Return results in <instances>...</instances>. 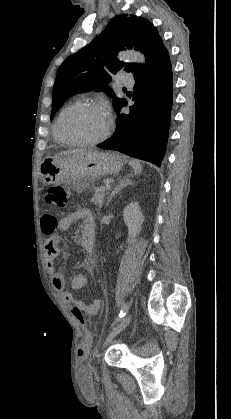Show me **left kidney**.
<instances>
[{
  "label": "left kidney",
  "mask_w": 231,
  "mask_h": 419,
  "mask_svg": "<svg viewBox=\"0 0 231 419\" xmlns=\"http://www.w3.org/2000/svg\"><path fill=\"white\" fill-rule=\"evenodd\" d=\"M123 219L125 224L128 226L129 239L128 241H133V238L141 230V225L144 222V217L141 212V209L137 202H131L123 210Z\"/></svg>",
  "instance_id": "left-kidney-1"
}]
</instances>
